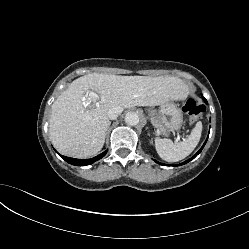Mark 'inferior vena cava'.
I'll list each match as a JSON object with an SVG mask.
<instances>
[{
	"label": "inferior vena cava",
	"instance_id": "602c4592",
	"mask_svg": "<svg viewBox=\"0 0 249 249\" xmlns=\"http://www.w3.org/2000/svg\"><path fill=\"white\" fill-rule=\"evenodd\" d=\"M123 111V108L121 106L115 105L109 108L107 115L108 118L111 120L116 119Z\"/></svg>",
	"mask_w": 249,
	"mask_h": 249
}]
</instances>
